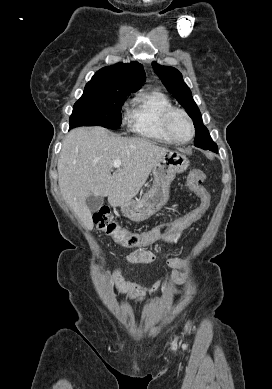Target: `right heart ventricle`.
<instances>
[{
    "label": "right heart ventricle",
    "instance_id": "1",
    "mask_svg": "<svg viewBox=\"0 0 272 389\" xmlns=\"http://www.w3.org/2000/svg\"><path fill=\"white\" fill-rule=\"evenodd\" d=\"M171 107L169 97L159 89L141 93L133 100L128 111L129 129L149 140L172 143L162 127V116Z\"/></svg>",
    "mask_w": 272,
    "mask_h": 389
}]
</instances>
